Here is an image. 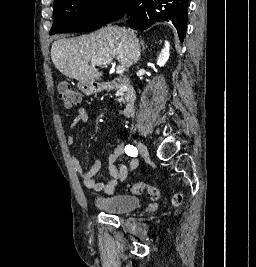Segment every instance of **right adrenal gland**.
<instances>
[{
    "label": "right adrenal gland",
    "mask_w": 256,
    "mask_h": 267,
    "mask_svg": "<svg viewBox=\"0 0 256 267\" xmlns=\"http://www.w3.org/2000/svg\"><path fill=\"white\" fill-rule=\"evenodd\" d=\"M140 44H141L142 52H144V50H145V46H144V42H143V40H140Z\"/></svg>",
    "instance_id": "2a0ac1e0"
}]
</instances>
